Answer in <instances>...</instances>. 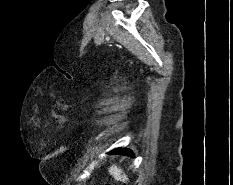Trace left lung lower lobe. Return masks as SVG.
Segmentation results:
<instances>
[{
    "instance_id": "obj_1",
    "label": "left lung lower lobe",
    "mask_w": 233,
    "mask_h": 185,
    "mask_svg": "<svg viewBox=\"0 0 233 185\" xmlns=\"http://www.w3.org/2000/svg\"><path fill=\"white\" fill-rule=\"evenodd\" d=\"M111 153H113V154H122V155L134 157L133 152H131L128 149L117 148V149H114L113 151H111Z\"/></svg>"
}]
</instances>
